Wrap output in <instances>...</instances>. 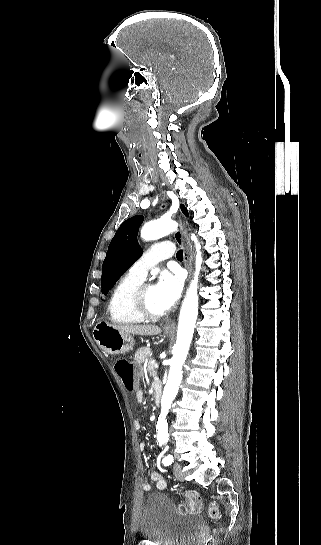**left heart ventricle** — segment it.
<instances>
[{
  "instance_id": "b2bd125f",
  "label": "left heart ventricle",
  "mask_w": 321,
  "mask_h": 545,
  "mask_svg": "<svg viewBox=\"0 0 321 545\" xmlns=\"http://www.w3.org/2000/svg\"><path fill=\"white\" fill-rule=\"evenodd\" d=\"M143 304L145 308L151 312L154 313H164L162 308L157 302L156 296H155V289L153 286H148L142 296Z\"/></svg>"
}]
</instances>
